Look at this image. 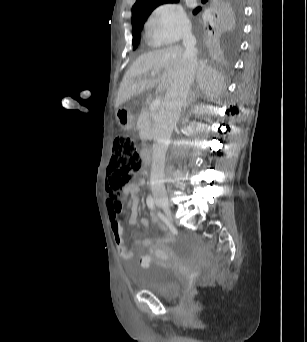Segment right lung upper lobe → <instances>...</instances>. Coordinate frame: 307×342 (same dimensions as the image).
Returning a JSON list of instances; mask_svg holds the SVG:
<instances>
[{
	"label": "right lung upper lobe",
	"instance_id": "right-lung-upper-lobe-1",
	"mask_svg": "<svg viewBox=\"0 0 307 342\" xmlns=\"http://www.w3.org/2000/svg\"><path fill=\"white\" fill-rule=\"evenodd\" d=\"M178 0H136L132 7V34L137 35L143 28L149 14L154 8L163 3ZM237 0H202L206 6L197 7L193 13H199V25L202 35L212 42L224 39L231 28L238 12Z\"/></svg>",
	"mask_w": 307,
	"mask_h": 342
}]
</instances>
